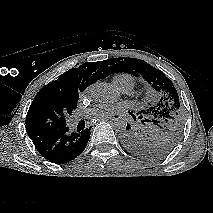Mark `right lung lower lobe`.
I'll list each match as a JSON object with an SVG mask.
<instances>
[{"instance_id": "98d812e1", "label": "right lung lower lobe", "mask_w": 213, "mask_h": 213, "mask_svg": "<svg viewBox=\"0 0 213 213\" xmlns=\"http://www.w3.org/2000/svg\"><path fill=\"white\" fill-rule=\"evenodd\" d=\"M90 130L70 133L69 128L54 130L31 137L37 151L55 164L67 163L79 156L87 146Z\"/></svg>"}]
</instances>
